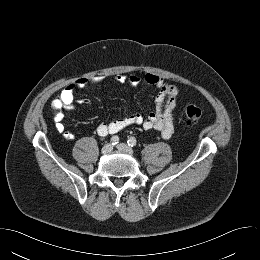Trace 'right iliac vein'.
Segmentation results:
<instances>
[{
  "label": "right iliac vein",
  "mask_w": 260,
  "mask_h": 260,
  "mask_svg": "<svg viewBox=\"0 0 260 260\" xmlns=\"http://www.w3.org/2000/svg\"><path fill=\"white\" fill-rule=\"evenodd\" d=\"M112 150H113V145L110 144V143H108V144H106V145L103 146V148H102L101 151H102L103 154H108V153H110Z\"/></svg>",
  "instance_id": "obj_1"
}]
</instances>
